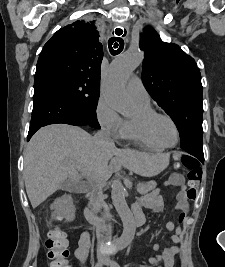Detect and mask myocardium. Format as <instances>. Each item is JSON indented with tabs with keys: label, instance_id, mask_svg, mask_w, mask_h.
<instances>
[{
	"label": "myocardium",
	"instance_id": "1",
	"mask_svg": "<svg viewBox=\"0 0 225 267\" xmlns=\"http://www.w3.org/2000/svg\"><path fill=\"white\" fill-rule=\"evenodd\" d=\"M159 118H165L167 120H169L172 125L175 128L176 131V142L173 145H162L158 142V140L156 139L155 133H154V123L157 119ZM145 126L147 129V132L149 134V136L151 137V139L162 149H171L174 148L178 145L179 141H180V130L178 127L177 122L168 114L166 113H161V112H152L150 115L147 116L146 120H145Z\"/></svg>",
	"mask_w": 225,
	"mask_h": 267
}]
</instances>
